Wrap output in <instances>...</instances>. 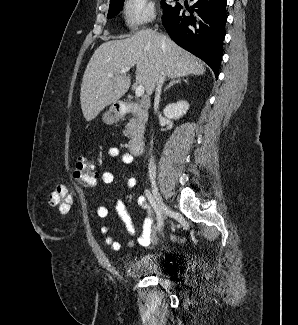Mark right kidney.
<instances>
[{
    "label": "right kidney",
    "mask_w": 298,
    "mask_h": 325,
    "mask_svg": "<svg viewBox=\"0 0 298 325\" xmlns=\"http://www.w3.org/2000/svg\"><path fill=\"white\" fill-rule=\"evenodd\" d=\"M189 108V102L187 100H177V102H169L163 108L164 116L167 118H180L183 114H186Z\"/></svg>",
    "instance_id": "1"
}]
</instances>
